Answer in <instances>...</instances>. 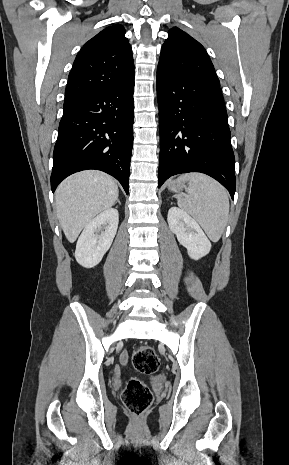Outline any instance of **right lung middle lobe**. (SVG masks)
<instances>
[{"label": "right lung middle lobe", "mask_w": 289, "mask_h": 465, "mask_svg": "<svg viewBox=\"0 0 289 465\" xmlns=\"http://www.w3.org/2000/svg\"><path fill=\"white\" fill-rule=\"evenodd\" d=\"M68 110H69V106H64L63 108L64 113L67 112Z\"/></svg>", "instance_id": "1"}]
</instances>
